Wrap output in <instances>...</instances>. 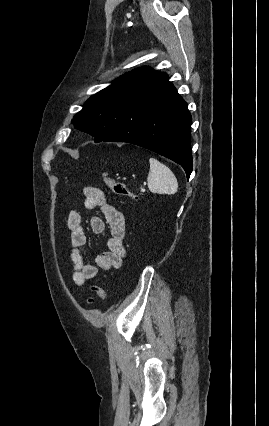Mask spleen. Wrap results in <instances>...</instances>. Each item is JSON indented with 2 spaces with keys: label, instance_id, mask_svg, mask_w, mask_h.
<instances>
[{
  "label": "spleen",
  "instance_id": "1",
  "mask_svg": "<svg viewBox=\"0 0 269 426\" xmlns=\"http://www.w3.org/2000/svg\"><path fill=\"white\" fill-rule=\"evenodd\" d=\"M150 170L147 177L149 190L157 194H175L178 182L172 171L155 158L149 159Z\"/></svg>",
  "mask_w": 269,
  "mask_h": 426
}]
</instances>
